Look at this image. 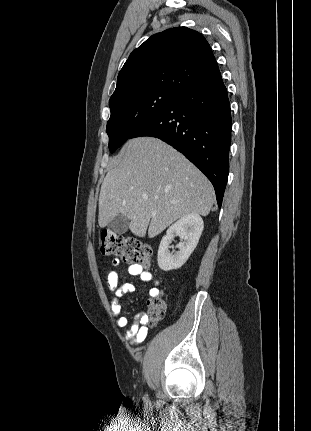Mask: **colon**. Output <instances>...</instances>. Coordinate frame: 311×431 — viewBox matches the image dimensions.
Segmentation results:
<instances>
[{
	"instance_id": "colon-1",
	"label": "colon",
	"mask_w": 311,
	"mask_h": 431,
	"mask_svg": "<svg viewBox=\"0 0 311 431\" xmlns=\"http://www.w3.org/2000/svg\"><path fill=\"white\" fill-rule=\"evenodd\" d=\"M100 251L104 255L120 258L130 264L149 267L152 262V248L134 238L123 237L113 231L103 230L100 233ZM166 303L161 296L148 300L145 313L146 323L156 325L164 316Z\"/></svg>"
}]
</instances>
